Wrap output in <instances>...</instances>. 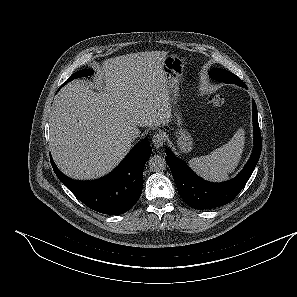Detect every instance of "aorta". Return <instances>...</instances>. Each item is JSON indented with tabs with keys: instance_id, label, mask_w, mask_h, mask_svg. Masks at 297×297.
I'll use <instances>...</instances> for the list:
<instances>
[{
	"instance_id": "762f6f07",
	"label": "aorta",
	"mask_w": 297,
	"mask_h": 297,
	"mask_svg": "<svg viewBox=\"0 0 297 297\" xmlns=\"http://www.w3.org/2000/svg\"><path fill=\"white\" fill-rule=\"evenodd\" d=\"M149 168L151 171L160 172L166 168V161L162 156L154 155L150 157L149 161Z\"/></svg>"
}]
</instances>
